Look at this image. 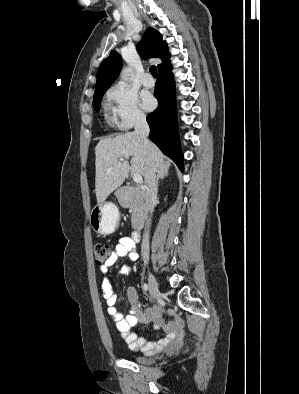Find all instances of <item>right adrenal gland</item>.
<instances>
[{"mask_svg":"<svg viewBox=\"0 0 299 394\" xmlns=\"http://www.w3.org/2000/svg\"><path fill=\"white\" fill-rule=\"evenodd\" d=\"M169 175V168L164 167L157 170L156 186L158 187L159 179H164Z\"/></svg>","mask_w":299,"mask_h":394,"instance_id":"2a0ac1e0","label":"right adrenal gland"}]
</instances>
